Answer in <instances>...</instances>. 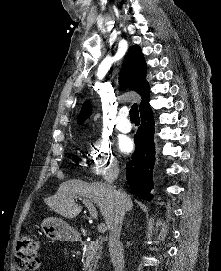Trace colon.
<instances>
[{"instance_id": "colon-1", "label": "colon", "mask_w": 221, "mask_h": 271, "mask_svg": "<svg viewBox=\"0 0 221 271\" xmlns=\"http://www.w3.org/2000/svg\"><path fill=\"white\" fill-rule=\"evenodd\" d=\"M41 244L31 235L21 236L16 244L15 263L20 271H33L40 267Z\"/></svg>"}]
</instances>
